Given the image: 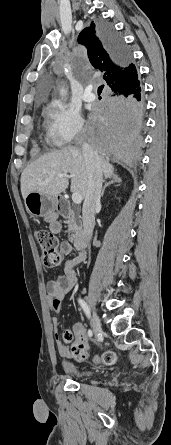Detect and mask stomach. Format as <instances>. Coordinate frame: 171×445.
Returning a JSON list of instances; mask_svg holds the SVG:
<instances>
[{"label": "stomach", "mask_w": 171, "mask_h": 445, "mask_svg": "<svg viewBox=\"0 0 171 445\" xmlns=\"http://www.w3.org/2000/svg\"><path fill=\"white\" fill-rule=\"evenodd\" d=\"M27 211L35 217H57V198L50 197L39 192H30L24 199Z\"/></svg>", "instance_id": "stomach-1"}]
</instances>
